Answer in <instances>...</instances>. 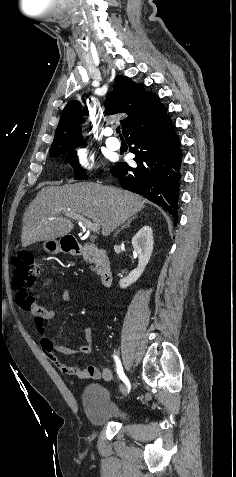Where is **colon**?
<instances>
[{
  "mask_svg": "<svg viewBox=\"0 0 236 477\" xmlns=\"http://www.w3.org/2000/svg\"><path fill=\"white\" fill-rule=\"evenodd\" d=\"M39 273L40 268L32 253L21 252L16 256L13 283L19 307H26L27 301L32 296L30 290L36 285Z\"/></svg>",
  "mask_w": 236,
  "mask_h": 477,
  "instance_id": "obj_1",
  "label": "colon"
}]
</instances>
